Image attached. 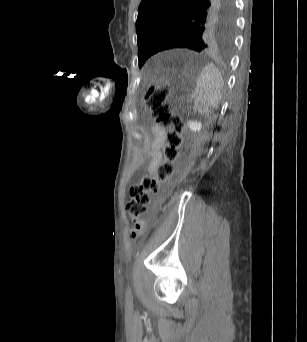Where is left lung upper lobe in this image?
<instances>
[{"instance_id":"5c2ea615","label":"left lung upper lobe","mask_w":307,"mask_h":342,"mask_svg":"<svg viewBox=\"0 0 307 342\" xmlns=\"http://www.w3.org/2000/svg\"><path fill=\"white\" fill-rule=\"evenodd\" d=\"M234 27L232 0H143L136 21L139 67L172 48L228 53Z\"/></svg>"}]
</instances>
